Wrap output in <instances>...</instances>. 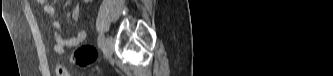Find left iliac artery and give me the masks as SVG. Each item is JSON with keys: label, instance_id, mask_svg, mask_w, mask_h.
<instances>
[{"label": "left iliac artery", "instance_id": "left-iliac-artery-1", "mask_svg": "<svg viewBox=\"0 0 333 76\" xmlns=\"http://www.w3.org/2000/svg\"><path fill=\"white\" fill-rule=\"evenodd\" d=\"M103 45H104V35L100 34L98 37V46L103 47Z\"/></svg>", "mask_w": 333, "mask_h": 76}]
</instances>
